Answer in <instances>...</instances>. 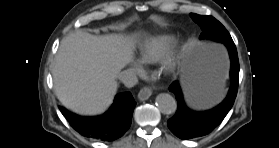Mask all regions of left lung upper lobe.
Segmentation results:
<instances>
[{
	"label": "left lung upper lobe",
	"instance_id": "left-lung-upper-lobe-1",
	"mask_svg": "<svg viewBox=\"0 0 279 148\" xmlns=\"http://www.w3.org/2000/svg\"><path fill=\"white\" fill-rule=\"evenodd\" d=\"M192 19L201 27L202 34L200 39H207L213 41H224L232 39L225 27L212 16H201L191 13Z\"/></svg>",
	"mask_w": 279,
	"mask_h": 148
}]
</instances>
